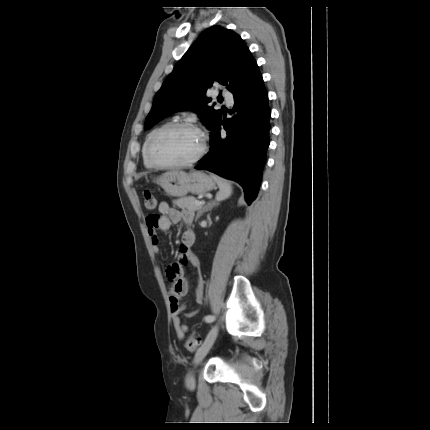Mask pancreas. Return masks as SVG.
<instances>
[{
  "instance_id": "1",
  "label": "pancreas",
  "mask_w": 430,
  "mask_h": 430,
  "mask_svg": "<svg viewBox=\"0 0 430 430\" xmlns=\"http://www.w3.org/2000/svg\"><path fill=\"white\" fill-rule=\"evenodd\" d=\"M196 201L197 200L195 197L188 196V197H183V198H179L177 200H174L173 203L182 209L186 208V209L191 210V211H200L202 209V207L197 206L195 204Z\"/></svg>"
}]
</instances>
